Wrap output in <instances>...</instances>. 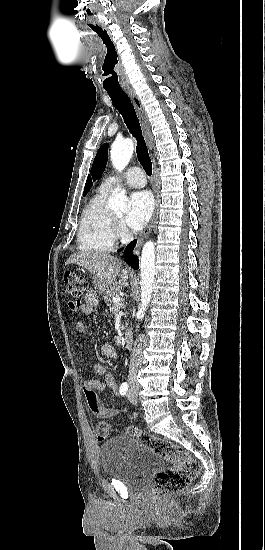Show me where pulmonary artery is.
<instances>
[{
  "instance_id": "e3ab8cb5",
  "label": "pulmonary artery",
  "mask_w": 265,
  "mask_h": 550,
  "mask_svg": "<svg viewBox=\"0 0 265 550\" xmlns=\"http://www.w3.org/2000/svg\"><path fill=\"white\" fill-rule=\"evenodd\" d=\"M122 183L133 188H142L146 185V177L141 169L132 167L123 175H113L107 177L101 184V188L107 191H112Z\"/></svg>"
}]
</instances>
